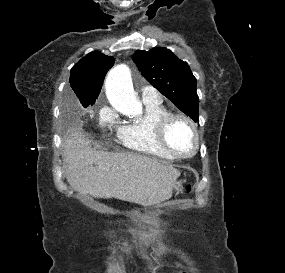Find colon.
<instances>
[{
	"instance_id": "obj_1",
	"label": "colon",
	"mask_w": 285,
	"mask_h": 273,
	"mask_svg": "<svg viewBox=\"0 0 285 273\" xmlns=\"http://www.w3.org/2000/svg\"><path fill=\"white\" fill-rule=\"evenodd\" d=\"M191 189H192L191 185H188V186L186 187V191H187V192H190ZM180 272H181V273H187L185 270H181Z\"/></svg>"
}]
</instances>
